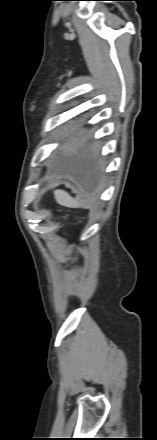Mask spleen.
<instances>
[{
  "label": "spleen",
  "instance_id": "obj_1",
  "mask_svg": "<svg viewBox=\"0 0 157 440\" xmlns=\"http://www.w3.org/2000/svg\"><path fill=\"white\" fill-rule=\"evenodd\" d=\"M54 196L58 204L68 207V208H78L80 207V202L74 199L64 190H55Z\"/></svg>",
  "mask_w": 157,
  "mask_h": 440
}]
</instances>
